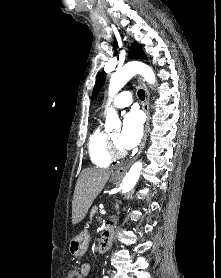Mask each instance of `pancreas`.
<instances>
[{"label":"pancreas","mask_w":221,"mask_h":278,"mask_svg":"<svg viewBox=\"0 0 221 278\" xmlns=\"http://www.w3.org/2000/svg\"><path fill=\"white\" fill-rule=\"evenodd\" d=\"M99 207L95 206L91 210L90 219L92 220L98 214Z\"/></svg>","instance_id":"cf45deb5"}]
</instances>
